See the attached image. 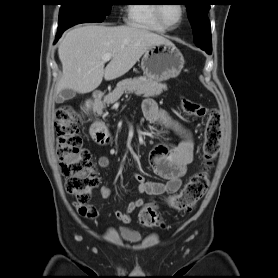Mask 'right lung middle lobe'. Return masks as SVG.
<instances>
[{"instance_id": "1", "label": "right lung middle lobe", "mask_w": 278, "mask_h": 278, "mask_svg": "<svg viewBox=\"0 0 278 278\" xmlns=\"http://www.w3.org/2000/svg\"><path fill=\"white\" fill-rule=\"evenodd\" d=\"M58 29L83 22H102L109 15L114 0H59Z\"/></svg>"}]
</instances>
